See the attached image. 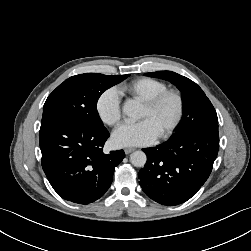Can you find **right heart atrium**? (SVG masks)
Instances as JSON below:
<instances>
[{
  "instance_id": "right-heart-atrium-1",
  "label": "right heart atrium",
  "mask_w": 251,
  "mask_h": 251,
  "mask_svg": "<svg viewBox=\"0 0 251 251\" xmlns=\"http://www.w3.org/2000/svg\"><path fill=\"white\" fill-rule=\"evenodd\" d=\"M95 107L98 117L106 125L113 127L120 122V94L116 88L104 90L98 96Z\"/></svg>"
}]
</instances>
